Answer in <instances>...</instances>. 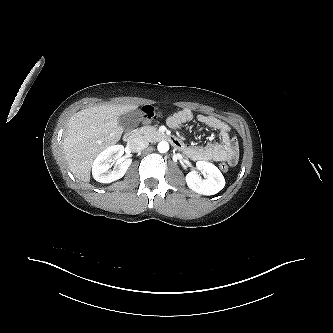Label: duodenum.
Segmentation results:
<instances>
[{
  "label": "duodenum",
  "mask_w": 333,
  "mask_h": 333,
  "mask_svg": "<svg viewBox=\"0 0 333 333\" xmlns=\"http://www.w3.org/2000/svg\"><path fill=\"white\" fill-rule=\"evenodd\" d=\"M162 138L169 142L176 149H181L183 147L181 140L173 135L162 134ZM124 139L129 148L135 149L138 144L139 136L137 132L131 131L125 134Z\"/></svg>",
  "instance_id": "1"
}]
</instances>
